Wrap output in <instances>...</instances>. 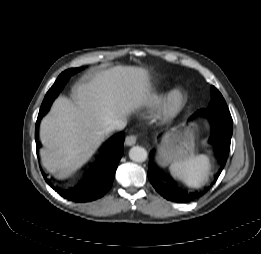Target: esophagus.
<instances>
[{
	"label": "esophagus",
	"instance_id": "esophagus-1",
	"mask_svg": "<svg viewBox=\"0 0 261 254\" xmlns=\"http://www.w3.org/2000/svg\"><path fill=\"white\" fill-rule=\"evenodd\" d=\"M137 142V136L135 135H129L125 139V145L132 146Z\"/></svg>",
	"mask_w": 261,
	"mask_h": 254
}]
</instances>
